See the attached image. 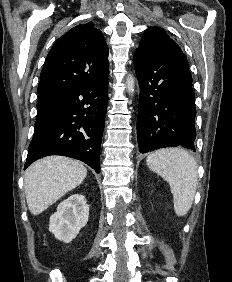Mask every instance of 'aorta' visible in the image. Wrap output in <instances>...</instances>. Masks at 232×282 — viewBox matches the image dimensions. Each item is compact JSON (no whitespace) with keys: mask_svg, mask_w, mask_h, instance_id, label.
I'll return each mask as SVG.
<instances>
[{"mask_svg":"<svg viewBox=\"0 0 232 282\" xmlns=\"http://www.w3.org/2000/svg\"><path fill=\"white\" fill-rule=\"evenodd\" d=\"M126 86H127L129 94L132 95L133 92H134V86H135V80H134L132 75H129L127 77V79H126Z\"/></svg>","mask_w":232,"mask_h":282,"instance_id":"1","label":"aorta"}]
</instances>
